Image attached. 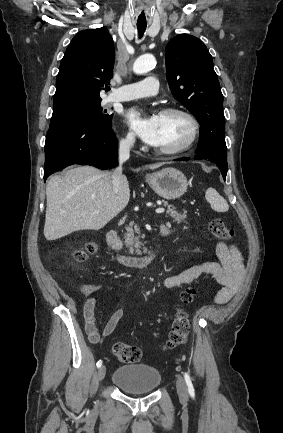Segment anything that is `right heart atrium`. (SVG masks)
I'll list each match as a JSON object with an SVG mask.
<instances>
[{"label": "right heart atrium", "mask_w": 283, "mask_h": 433, "mask_svg": "<svg viewBox=\"0 0 283 433\" xmlns=\"http://www.w3.org/2000/svg\"><path fill=\"white\" fill-rule=\"evenodd\" d=\"M119 142L122 147L130 148L134 143L133 135L131 133H127L126 135L120 138Z\"/></svg>", "instance_id": "obj_1"}]
</instances>
